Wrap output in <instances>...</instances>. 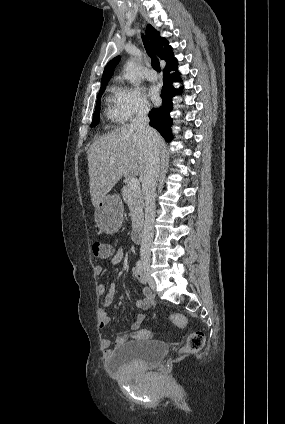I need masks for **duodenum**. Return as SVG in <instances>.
Returning <instances> with one entry per match:
<instances>
[{
  "label": "duodenum",
  "instance_id": "410a0bca",
  "mask_svg": "<svg viewBox=\"0 0 285 424\" xmlns=\"http://www.w3.org/2000/svg\"><path fill=\"white\" fill-rule=\"evenodd\" d=\"M144 238V231L141 226H136L132 232V240L134 243H141Z\"/></svg>",
  "mask_w": 285,
  "mask_h": 424
}]
</instances>
